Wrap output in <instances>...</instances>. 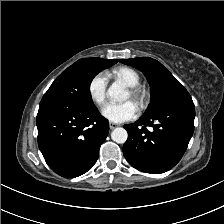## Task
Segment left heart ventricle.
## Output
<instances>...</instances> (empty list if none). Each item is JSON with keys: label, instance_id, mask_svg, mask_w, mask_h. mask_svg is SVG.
I'll list each match as a JSON object with an SVG mask.
<instances>
[{"label": "left heart ventricle", "instance_id": "b2bd125f", "mask_svg": "<svg viewBox=\"0 0 224 224\" xmlns=\"http://www.w3.org/2000/svg\"><path fill=\"white\" fill-rule=\"evenodd\" d=\"M126 99H129L130 98V94H129V92L127 91V93H126V97H125Z\"/></svg>", "mask_w": 224, "mask_h": 224}]
</instances>
